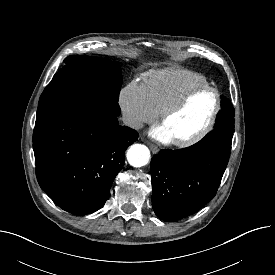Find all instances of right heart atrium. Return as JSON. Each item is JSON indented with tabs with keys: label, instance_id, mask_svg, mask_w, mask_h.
<instances>
[{
	"label": "right heart atrium",
	"instance_id": "d8ad5b80",
	"mask_svg": "<svg viewBox=\"0 0 275 275\" xmlns=\"http://www.w3.org/2000/svg\"><path fill=\"white\" fill-rule=\"evenodd\" d=\"M119 103L126 123L132 128H139L143 123L151 122L156 116L143 85L136 82L129 83L121 90Z\"/></svg>",
	"mask_w": 275,
	"mask_h": 275
}]
</instances>
